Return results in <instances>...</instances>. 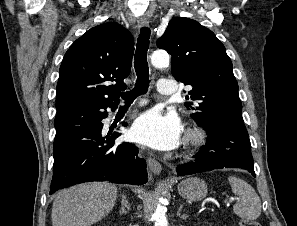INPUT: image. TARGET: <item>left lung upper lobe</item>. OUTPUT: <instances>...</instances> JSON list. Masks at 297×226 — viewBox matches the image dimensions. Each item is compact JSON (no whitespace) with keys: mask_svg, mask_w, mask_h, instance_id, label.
<instances>
[{"mask_svg":"<svg viewBox=\"0 0 297 226\" xmlns=\"http://www.w3.org/2000/svg\"><path fill=\"white\" fill-rule=\"evenodd\" d=\"M157 46L172 55V75L191 85L188 92L195 104V122L207 127L215 122L244 125L238 84L224 45L215 34L195 20L179 17L170 20Z\"/></svg>","mask_w":297,"mask_h":226,"instance_id":"1","label":"left lung upper lobe"}]
</instances>
